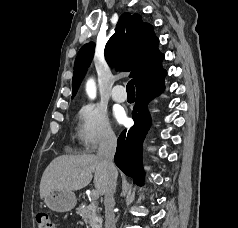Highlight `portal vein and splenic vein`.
I'll return each mask as SVG.
<instances>
[{
  "mask_svg": "<svg viewBox=\"0 0 238 228\" xmlns=\"http://www.w3.org/2000/svg\"><path fill=\"white\" fill-rule=\"evenodd\" d=\"M90 196L92 200H96L99 198V193L97 192V190H92Z\"/></svg>",
  "mask_w": 238,
  "mask_h": 228,
  "instance_id": "obj_1",
  "label": "portal vein and splenic vein"
}]
</instances>
